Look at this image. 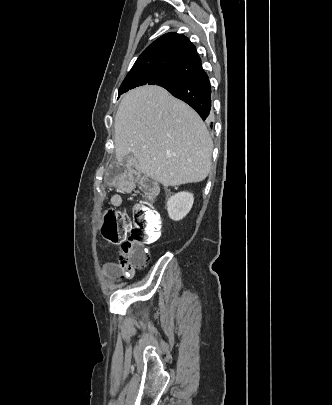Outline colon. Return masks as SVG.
Instances as JSON below:
<instances>
[{
  "label": "colon",
  "instance_id": "5ec220e1",
  "mask_svg": "<svg viewBox=\"0 0 332 405\" xmlns=\"http://www.w3.org/2000/svg\"><path fill=\"white\" fill-rule=\"evenodd\" d=\"M141 188L149 196L157 193V185L142 177ZM162 222L158 212L144 203H135L128 215L117 208L107 209L103 215L101 233L111 243H120V267L125 272L145 266L148 260L144 244L155 242L161 233Z\"/></svg>",
  "mask_w": 332,
  "mask_h": 405
}]
</instances>
